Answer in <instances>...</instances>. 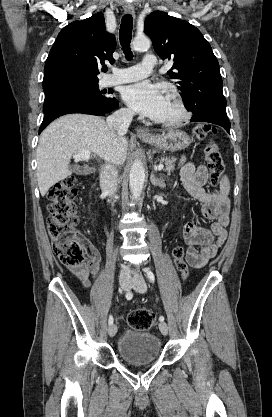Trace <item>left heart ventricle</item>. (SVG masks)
Listing matches in <instances>:
<instances>
[{"label": "left heart ventricle", "instance_id": "obj_1", "mask_svg": "<svg viewBox=\"0 0 272 417\" xmlns=\"http://www.w3.org/2000/svg\"><path fill=\"white\" fill-rule=\"evenodd\" d=\"M179 111L176 107V105L173 103L172 100L167 98L166 105L164 107V110L158 120H170L174 119L178 116Z\"/></svg>", "mask_w": 272, "mask_h": 417}]
</instances>
